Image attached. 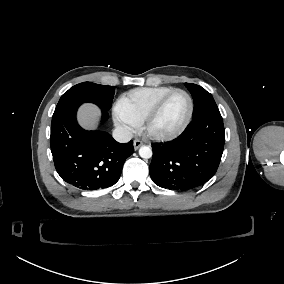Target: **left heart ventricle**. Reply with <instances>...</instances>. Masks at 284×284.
Listing matches in <instances>:
<instances>
[{"label":"left heart ventricle","mask_w":284,"mask_h":284,"mask_svg":"<svg viewBox=\"0 0 284 284\" xmlns=\"http://www.w3.org/2000/svg\"><path fill=\"white\" fill-rule=\"evenodd\" d=\"M189 111L186 95L176 92L165 102L161 111L150 123V131L156 135H166L176 131L185 121Z\"/></svg>","instance_id":"obj_1"}]
</instances>
